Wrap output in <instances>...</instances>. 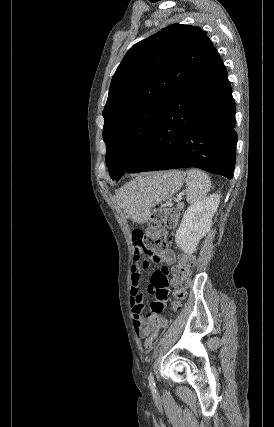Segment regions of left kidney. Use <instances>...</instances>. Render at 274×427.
<instances>
[{
  "mask_svg": "<svg viewBox=\"0 0 274 427\" xmlns=\"http://www.w3.org/2000/svg\"><path fill=\"white\" fill-rule=\"evenodd\" d=\"M219 202L220 196L212 194L186 210L175 235V241L184 253H194L200 239L210 231Z\"/></svg>",
  "mask_w": 274,
  "mask_h": 427,
  "instance_id": "obj_1",
  "label": "left kidney"
}]
</instances>
